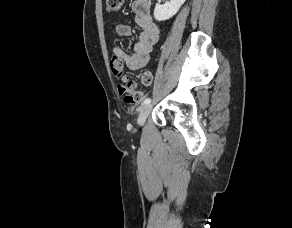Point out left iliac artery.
<instances>
[{
    "instance_id": "left-iliac-artery-1",
    "label": "left iliac artery",
    "mask_w": 292,
    "mask_h": 228,
    "mask_svg": "<svg viewBox=\"0 0 292 228\" xmlns=\"http://www.w3.org/2000/svg\"><path fill=\"white\" fill-rule=\"evenodd\" d=\"M151 102V98H146L144 101H143V105L145 104H149Z\"/></svg>"
}]
</instances>
